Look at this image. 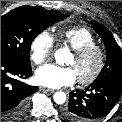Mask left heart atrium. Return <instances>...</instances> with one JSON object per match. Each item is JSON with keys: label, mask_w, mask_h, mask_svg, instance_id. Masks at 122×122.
Segmentation results:
<instances>
[{"label": "left heart atrium", "mask_w": 122, "mask_h": 122, "mask_svg": "<svg viewBox=\"0 0 122 122\" xmlns=\"http://www.w3.org/2000/svg\"><path fill=\"white\" fill-rule=\"evenodd\" d=\"M35 79L39 85L57 89L72 85L77 76L72 67L45 64L36 70Z\"/></svg>", "instance_id": "39dd6f15"}]
</instances>
